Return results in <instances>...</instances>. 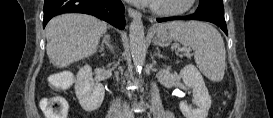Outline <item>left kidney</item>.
Segmentation results:
<instances>
[{
	"mask_svg": "<svg viewBox=\"0 0 273 118\" xmlns=\"http://www.w3.org/2000/svg\"><path fill=\"white\" fill-rule=\"evenodd\" d=\"M180 77L187 87L193 89L194 103L197 108H192L187 102L179 104L180 110L185 118H207L211 107V96L205 86L202 75L193 65H187L180 71Z\"/></svg>",
	"mask_w": 273,
	"mask_h": 118,
	"instance_id": "1",
	"label": "left kidney"
}]
</instances>
